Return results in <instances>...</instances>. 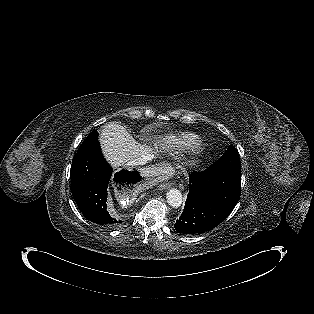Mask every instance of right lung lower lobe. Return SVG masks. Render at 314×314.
Returning <instances> with one entry per match:
<instances>
[{"label": "right lung lower lobe", "instance_id": "obj_1", "mask_svg": "<svg viewBox=\"0 0 314 314\" xmlns=\"http://www.w3.org/2000/svg\"><path fill=\"white\" fill-rule=\"evenodd\" d=\"M112 168L105 161L99 142L76 153L71 166V192L83 216L103 227H116L122 221L107 211L108 184ZM141 176L136 171L122 170L114 176L116 185L136 183Z\"/></svg>", "mask_w": 314, "mask_h": 314}]
</instances>
